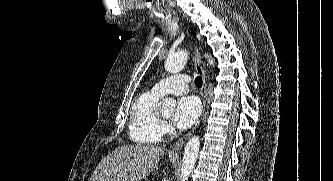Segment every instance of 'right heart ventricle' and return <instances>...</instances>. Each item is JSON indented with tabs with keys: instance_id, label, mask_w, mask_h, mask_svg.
I'll return each mask as SVG.
<instances>
[{
	"instance_id": "1",
	"label": "right heart ventricle",
	"mask_w": 333,
	"mask_h": 181,
	"mask_svg": "<svg viewBox=\"0 0 333 181\" xmlns=\"http://www.w3.org/2000/svg\"><path fill=\"white\" fill-rule=\"evenodd\" d=\"M159 98L160 95L148 91L133 103L129 124V136L133 142L154 144L161 140V120L157 113Z\"/></svg>"
}]
</instances>
